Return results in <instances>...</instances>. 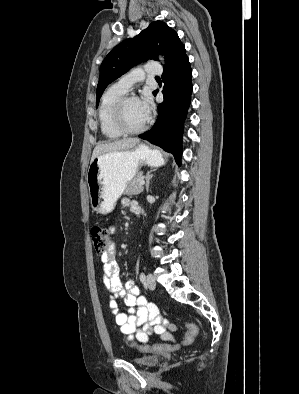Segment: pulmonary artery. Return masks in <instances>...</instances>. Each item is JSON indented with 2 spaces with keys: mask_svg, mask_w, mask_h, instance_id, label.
I'll return each mask as SVG.
<instances>
[{
  "mask_svg": "<svg viewBox=\"0 0 299 394\" xmlns=\"http://www.w3.org/2000/svg\"><path fill=\"white\" fill-rule=\"evenodd\" d=\"M162 72L163 70L158 67V65L148 64L146 65V68L144 70L141 68H137L123 75L118 80L117 85L125 91H129L136 83L142 81L145 75L158 77V75H161Z\"/></svg>",
  "mask_w": 299,
  "mask_h": 394,
  "instance_id": "1",
  "label": "pulmonary artery"
}]
</instances>
